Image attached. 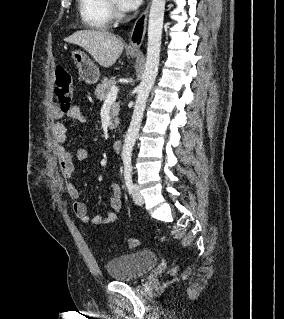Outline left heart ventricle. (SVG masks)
<instances>
[{
    "label": "left heart ventricle",
    "instance_id": "1",
    "mask_svg": "<svg viewBox=\"0 0 284 319\" xmlns=\"http://www.w3.org/2000/svg\"><path fill=\"white\" fill-rule=\"evenodd\" d=\"M115 4H117V0H113Z\"/></svg>",
    "mask_w": 284,
    "mask_h": 319
}]
</instances>
